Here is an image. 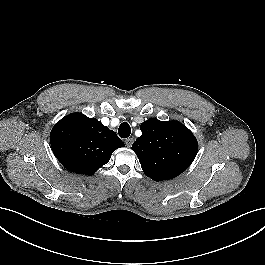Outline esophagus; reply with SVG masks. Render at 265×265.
I'll use <instances>...</instances> for the list:
<instances>
[{"mask_svg":"<svg viewBox=\"0 0 265 265\" xmlns=\"http://www.w3.org/2000/svg\"><path fill=\"white\" fill-rule=\"evenodd\" d=\"M125 144H126L127 147H131L132 144H133V138H127L125 140Z\"/></svg>","mask_w":265,"mask_h":265,"instance_id":"esophagus-1","label":"esophagus"}]
</instances>
